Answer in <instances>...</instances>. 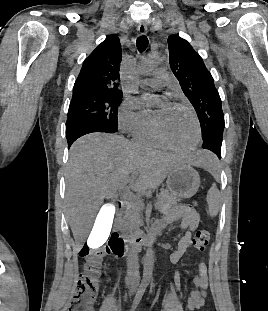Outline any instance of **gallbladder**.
Here are the masks:
<instances>
[{
	"mask_svg": "<svg viewBox=\"0 0 268 311\" xmlns=\"http://www.w3.org/2000/svg\"><path fill=\"white\" fill-rule=\"evenodd\" d=\"M117 206L116 201L103 202V205L98 209L95 227H92L88 234L90 249H99V246H104L105 239H108L109 234L112 233L111 225L115 218Z\"/></svg>",
	"mask_w": 268,
	"mask_h": 311,
	"instance_id": "bac80fb5",
	"label": "gallbladder"
}]
</instances>
